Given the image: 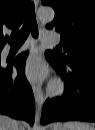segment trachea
<instances>
[{"mask_svg": "<svg viewBox=\"0 0 95 130\" xmlns=\"http://www.w3.org/2000/svg\"><path fill=\"white\" fill-rule=\"evenodd\" d=\"M30 32L34 38L38 37V25L35 16L34 4H31L28 9L21 31L15 37L9 39L8 43L11 47L20 46L25 42Z\"/></svg>", "mask_w": 95, "mask_h": 130, "instance_id": "3493384b", "label": "trachea"}]
</instances>
